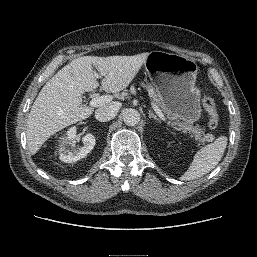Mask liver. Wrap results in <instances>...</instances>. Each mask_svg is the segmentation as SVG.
Instances as JSON below:
<instances>
[{"instance_id": "obj_1", "label": "liver", "mask_w": 257, "mask_h": 257, "mask_svg": "<svg viewBox=\"0 0 257 257\" xmlns=\"http://www.w3.org/2000/svg\"><path fill=\"white\" fill-rule=\"evenodd\" d=\"M149 53L133 56H83L59 70L41 89L27 120V145L35 155L44 142L62 129L87 119L93 109L82 104L84 92L98 88L93 66L104 76L102 89L120 98V91L129 86ZM106 103L103 106H108Z\"/></svg>"}]
</instances>
